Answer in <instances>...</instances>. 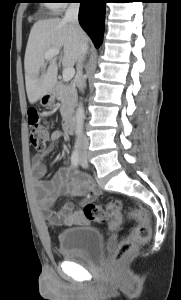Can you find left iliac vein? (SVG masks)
Wrapping results in <instances>:
<instances>
[{"label": "left iliac vein", "mask_w": 181, "mask_h": 300, "mask_svg": "<svg viewBox=\"0 0 181 300\" xmlns=\"http://www.w3.org/2000/svg\"><path fill=\"white\" fill-rule=\"evenodd\" d=\"M80 164L84 168L88 167V161H87L86 153H83L81 155Z\"/></svg>", "instance_id": "1"}]
</instances>
